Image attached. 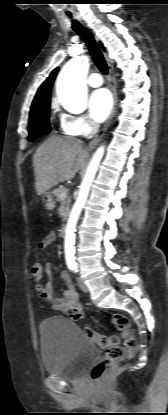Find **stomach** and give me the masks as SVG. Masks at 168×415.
<instances>
[{
	"instance_id": "stomach-1",
	"label": "stomach",
	"mask_w": 168,
	"mask_h": 415,
	"mask_svg": "<svg viewBox=\"0 0 168 415\" xmlns=\"http://www.w3.org/2000/svg\"><path fill=\"white\" fill-rule=\"evenodd\" d=\"M42 202L46 210H52L55 207V201L49 192L43 194Z\"/></svg>"
}]
</instances>
